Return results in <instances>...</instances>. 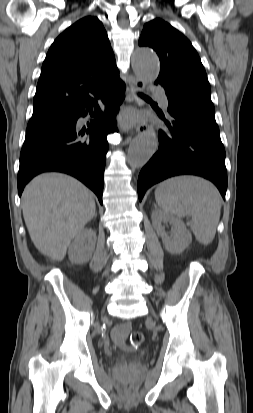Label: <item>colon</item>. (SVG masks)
Listing matches in <instances>:
<instances>
[{"mask_svg":"<svg viewBox=\"0 0 253 413\" xmlns=\"http://www.w3.org/2000/svg\"><path fill=\"white\" fill-rule=\"evenodd\" d=\"M145 340V336L143 333L135 331L131 334L130 336V343L133 347H138L139 345H141ZM132 388V385L130 382H126L124 384V390L129 392Z\"/></svg>","mask_w":253,"mask_h":413,"instance_id":"colon-1","label":"colon"}]
</instances>
